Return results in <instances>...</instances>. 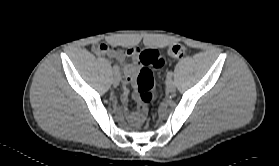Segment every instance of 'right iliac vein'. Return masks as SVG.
<instances>
[{
	"instance_id": "right-iliac-vein-1",
	"label": "right iliac vein",
	"mask_w": 279,
	"mask_h": 166,
	"mask_svg": "<svg viewBox=\"0 0 279 166\" xmlns=\"http://www.w3.org/2000/svg\"><path fill=\"white\" fill-rule=\"evenodd\" d=\"M120 80H121L120 75H119V74H115L114 77H113V79H112L113 85H114V86L119 85Z\"/></svg>"
}]
</instances>
